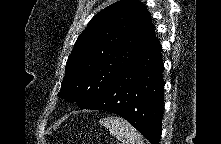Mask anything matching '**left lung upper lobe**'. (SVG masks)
Returning <instances> with one entry per match:
<instances>
[{"label": "left lung upper lobe", "instance_id": "1", "mask_svg": "<svg viewBox=\"0 0 221 144\" xmlns=\"http://www.w3.org/2000/svg\"><path fill=\"white\" fill-rule=\"evenodd\" d=\"M153 32L151 15L138 0H120L97 13L75 43L58 96L91 107L151 42Z\"/></svg>", "mask_w": 221, "mask_h": 144}]
</instances>
